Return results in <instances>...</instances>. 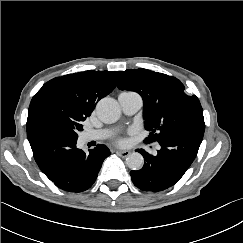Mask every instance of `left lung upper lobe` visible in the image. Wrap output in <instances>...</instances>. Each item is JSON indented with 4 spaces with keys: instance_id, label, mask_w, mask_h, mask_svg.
Listing matches in <instances>:
<instances>
[{
    "instance_id": "1",
    "label": "left lung upper lobe",
    "mask_w": 243,
    "mask_h": 243,
    "mask_svg": "<svg viewBox=\"0 0 243 243\" xmlns=\"http://www.w3.org/2000/svg\"><path fill=\"white\" fill-rule=\"evenodd\" d=\"M120 90L135 91L143 98L145 126L150 134L145 142L162 141L174 131L204 124L203 110L195 95H187L176 78L147 69L123 72Z\"/></svg>"
}]
</instances>
